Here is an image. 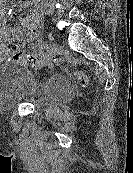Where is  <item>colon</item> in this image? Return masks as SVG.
<instances>
[{
    "instance_id": "obj_1",
    "label": "colon",
    "mask_w": 133,
    "mask_h": 173,
    "mask_svg": "<svg viewBox=\"0 0 133 173\" xmlns=\"http://www.w3.org/2000/svg\"><path fill=\"white\" fill-rule=\"evenodd\" d=\"M5 56L9 60L22 63H32L34 61L32 54L24 50L23 40L21 38H13L7 43L5 47ZM76 76L80 84L83 86L88 83V79L83 73L77 72Z\"/></svg>"
}]
</instances>
